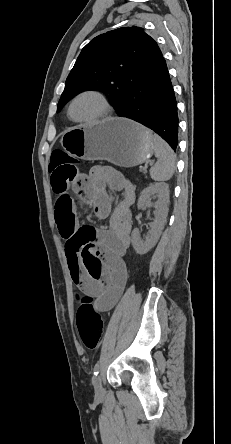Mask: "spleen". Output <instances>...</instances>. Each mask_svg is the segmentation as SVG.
<instances>
[{
  "instance_id": "3e777b00",
  "label": "spleen",
  "mask_w": 231,
  "mask_h": 444,
  "mask_svg": "<svg viewBox=\"0 0 231 444\" xmlns=\"http://www.w3.org/2000/svg\"><path fill=\"white\" fill-rule=\"evenodd\" d=\"M156 164L150 169L151 178L155 181L169 180L176 169V155L162 138L153 135Z\"/></svg>"
}]
</instances>
